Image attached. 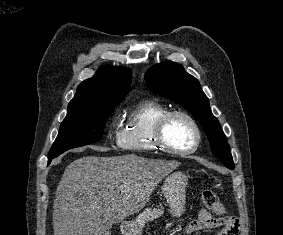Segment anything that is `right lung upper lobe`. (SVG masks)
I'll list each match as a JSON object with an SVG mask.
<instances>
[{
	"mask_svg": "<svg viewBox=\"0 0 283 235\" xmlns=\"http://www.w3.org/2000/svg\"><path fill=\"white\" fill-rule=\"evenodd\" d=\"M132 71L125 67L104 66L94 77L84 80L69 104L122 101L129 92Z\"/></svg>",
	"mask_w": 283,
	"mask_h": 235,
	"instance_id": "right-lung-upper-lobe-1",
	"label": "right lung upper lobe"
}]
</instances>
